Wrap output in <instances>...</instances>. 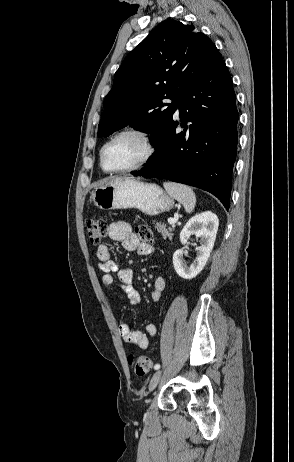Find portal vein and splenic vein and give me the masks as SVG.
Returning <instances> with one entry per match:
<instances>
[{"mask_svg": "<svg viewBox=\"0 0 294 462\" xmlns=\"http://www.w3.org/2000/svg\"><path fill=\"white\" fill-rule=\"evenodd\" d=\"M178 219L176 218H169L168 219V223L172 226H175V224L177 223Z\"/></svg>", "mask_w": 294, "mask_h": 462, "instance_id": "obj_1", "label": "portal vein and splenic vein"}]
</instances>
